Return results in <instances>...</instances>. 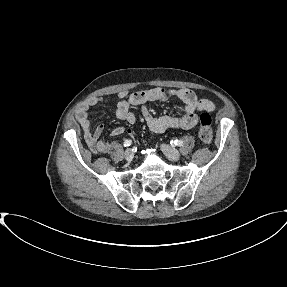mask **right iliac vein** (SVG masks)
Segmentation results:
<instances>
[{
    "instance_id": "right-iliac-vein-1",
    "label": "right iliac vein",
    "mask_w": 287,
    "mask_h": 287,
    "mask_svg": "<svg viewBox=\"0 0 287 287\" xmlns=\"http://www.w3.org/2000/svg\"><path fill=\"white\" fill-rule=\"evenodd\" d=\"M124 157L127 161H131L134 157V154H133V151L131 149H127L125 152H124Z\"/></svg>"
}]
</instances>
